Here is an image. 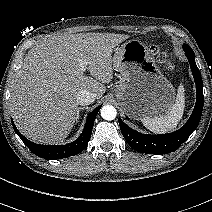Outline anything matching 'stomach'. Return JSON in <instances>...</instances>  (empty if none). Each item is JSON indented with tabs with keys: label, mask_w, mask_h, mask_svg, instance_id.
I'll return each instance as SVG.
<instances>
[{
	"label": "stomach",
	"mask_w": 212,
	"mask_h": 212,
	"mask_svg": "<svg viewBox=\"0 0 212 212\" xmlns=\"http://www.w3.org/2000/svg\"><path fill=\"white\" fill-rule=\"evenodd\" d=\"M112 62L121 75L115 95L129 118L167 115L175 100V89L144 43L137 39L126 41L116 49Z\"/></svg>",
	"instance_id": "1"
}]
</instances>
